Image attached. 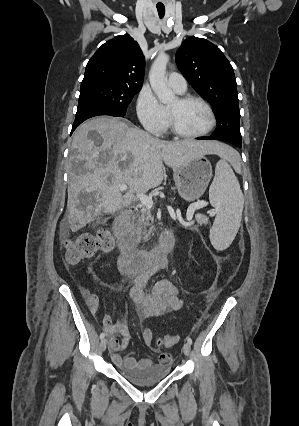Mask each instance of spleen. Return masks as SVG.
Listing matches in <instances>:
<instances>
[{
  "instance_id": "1",
  "label": "spleen",
  "mask_w": 299,
  "mask_h": 426,
  "mask_svg": "<svg viewBox=\"0 0 299 426\" xmlns=\"http://www.w3.org/2000/svg\"><path fill=\"white\" fill-rule=\"evenodd\" d=\"M209 200L217 210L210 240L215 249L225 250L239 230L244 205L239 182L225 159L216 164L215 176L209 188Z\"/></svg>"
}]
</instances>
